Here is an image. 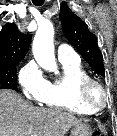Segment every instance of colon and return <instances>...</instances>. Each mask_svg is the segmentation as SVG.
Returning <instances> with one entry per match:
<instances>
[{"mask_svg":"<svg viewBox=\"0 0 117 136\" xmlns=\"http://www.w3.org/2000/svg\"><path fill=\"white\" fill-rule=\"evenodd\" d=\"M95 135H99V133H95Z\"/></svg>","mask_w":117,"mask_h":136,"instance_id":"5ec220e1","label":"colon"}]
</instances>
